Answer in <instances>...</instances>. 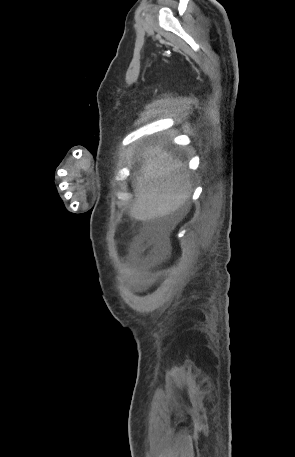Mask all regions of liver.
<instances>
[{"label":"liver","instance_id":"6515ba94","mask_svg":"<svg viewBox=\"0 0 295 457\" xmlns=\"http://www.w3.org/2000/svg\"><path fill=\"white\" fill-rule=\"evenodd\" d=\"M140 176L133 182L132 218L154 220L170 215L190 198V172L163 146H150L144 153Z\"/></svg>","mask_w":295,"mask_h":457}]
</instances>
